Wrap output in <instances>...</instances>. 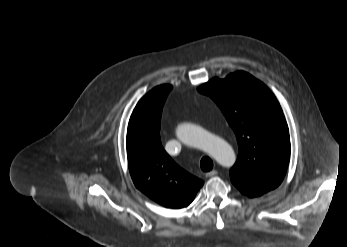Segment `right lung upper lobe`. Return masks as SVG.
<instances>
[{
    "label": "right lung upper lobe",
    "instance_id": "cb5924a9",
    "mask_svg": "<svg viewBox=\"0 0 347 247\" xmlns=\"http://www.w3.org/2000/svg\"><path fill=\"white\" fill-rule=\"evenodd\" d=\"M171 85H160L134 108L127 129V158L135 186L166 208L187 207L203 181L179 167L163 149L160 119Z\"/></svg>",
    "mask_w": 347,
    "mask_h": 247
}]
</instances>
